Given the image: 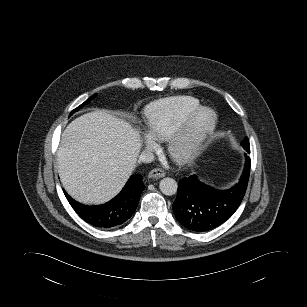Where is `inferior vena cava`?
I'll list each match as a JSON object with an SVG mask.
<instances>
[{
	"mask_svg": "<svg viewBox=\"0 0 307 307\" xmlns=\"http://www.w3.org/2000/svg\"><path fill=\"white\" fill-rule=\"evenodd\" d=\"M154 160V154L151 151L144 150L139 156V161L143 163H151Z\"/></svg>",
	"mask_w": 307,
	"mask_h": 307,
	"instance_id": "1",
	"label": "inferior vena cava"
}]
</instances>
